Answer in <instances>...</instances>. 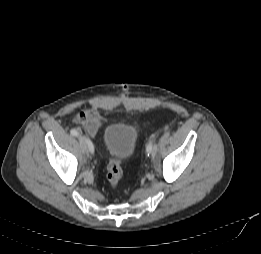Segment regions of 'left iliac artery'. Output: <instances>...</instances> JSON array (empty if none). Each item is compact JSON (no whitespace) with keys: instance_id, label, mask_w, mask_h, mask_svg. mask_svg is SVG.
Wrapping results in <instances>:
<instances>
[{"instance_id":"44dca946","label":"left iliac artery","mask_w":261,"mask_h":254,"mask_svg":"<svg viewBox=\"0 0 261 254\" xmlns=\"http://www.w3.org/2000/svg\"><path fill=\"white\" fill-rule=\"evenodd\" d=\"M153 141H154V136L153 138L149 141V143L146 146V152L149 154H151L152 150H153Z\"/></svg>"}]
</instances>
